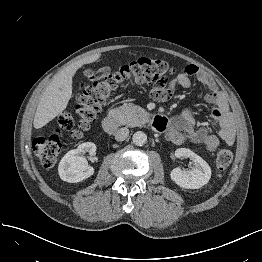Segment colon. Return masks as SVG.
<instances>
[{
    "mask_svg": "<svg viewBox=\"0 0 262 262\" xmlns=\"http://www.w3.org/2000/svg\"><path fill=\"white\" fill-rule=\"evenodd\" d=\"M172 67L164 60L156 58H140L128 64L114 67L105 66L96 71L87 70L84 73L79 97L73 112L63 113L53 133L41 135L34 139L33 147L38 153L41 164L45 168L55 165L66 135L79 138L96 119L108 97L120 86L126 84L150 85L151 95L161 98L167 88ZM233 155L228 149H221L215 158L218 174H222L231 164Z\"/></svg>",
    "mask_w": 262,
    "mask_h": 262,
    "instance_id": "1",
    "label": "colon"
}]
</instances>
